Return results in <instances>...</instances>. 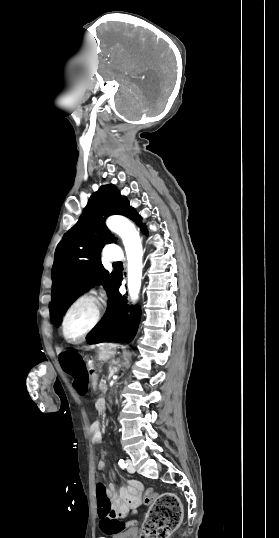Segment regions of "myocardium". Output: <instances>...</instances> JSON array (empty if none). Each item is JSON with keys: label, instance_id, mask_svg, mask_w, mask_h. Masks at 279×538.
I'll list each match as a JSON object with an SVG mask.
<instances>
[{"label": "myocardium", "instance_id": "myocardium-1", "mask_svg": "<svg viewBox=\"0 0 279 538\" xmlns=\"http://www.w3.org/2000/svg\"><path fill=\"white\" fill-rule=\"evenodd\" d=\"M89 304L93 307V316L87 327L75 337H69L66 333L67 325L74 311L82 305ZM103 314V304L101 298L87 292L76 298L66 309L60 321V333L63 339L68 343H77L86 338L100 323Z\"/></svg>", "mask_w": 279, "mask_h": 538}]
</instances>
